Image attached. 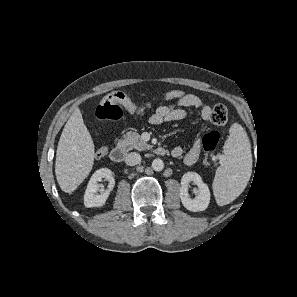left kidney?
I'll list each match as a JSON object with an SVG mask.
<instances>
[{"label":"left kidney","instance_id":"5707ae66","mask_svg":"<svg viewBox=\"0 0 297 297\" xmlns=\"http://www.w3.org/2000/svg\"><path fill=\"white\" fill-rule=\"evenodd\" d=\"M191 182L196 184L199 189L198 195L193 199L188 193V186ZM179 195L183 206L193 212L205 210L210 202V190L200 175L195 172H187L182 176Z\"/></svg>","mask_w":297,"mask_h":297}]
</instances>
